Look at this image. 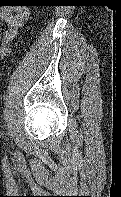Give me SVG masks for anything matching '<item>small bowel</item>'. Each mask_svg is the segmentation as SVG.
I'll return each instance as SVG.
<instances>
[{"mask_svg": "<svg viewBox=\"0 0 121 197\" xmlns=\"http://www.w3.org/2000/svg\"><path fill=\"white\" fill-rule=\"evenodd\" d=\"M0 27H5L2 46L0 47V57L8 54V44L17 35L27 19V10L22 5L1 4Z\"/></svg>", "mask_w": 121, "mask_h": 197, "instance_id": "1", "label": "small bowel"}]
</instances>
